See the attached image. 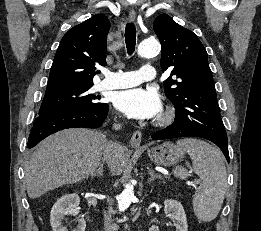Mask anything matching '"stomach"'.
Listing matches in <instances>:
<instances>
[{
	"instance_id": "obj_1",
	"label": "stomach",
	"mask_w": 261,
	"mask_h": 231,
	"mask_svg": "<svg viewBox=\"0 0 261 231\" xmlns=\"http://www.w3.org/2000/svg\"><path fill=\"white\" fill-rule=\"evenodd\" d=\"M147 154L155 164L172 166L182 160L184 149L171 142H164L161 145L148 149Z\"/></svg>"
}]
</instances>
